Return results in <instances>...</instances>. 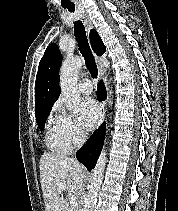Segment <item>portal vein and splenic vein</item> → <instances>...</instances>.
I'll use <instances>...</instances> for the list:
<instances>
[{"label":"portal vein and splenic vein","mask_w":178,"mask_h":211,"mask_svg":"<svg viewBox=\"0 0 178 211\" xmlns=\"http://www.w3.org/2000/svg\"><path fill=\"white\" fill-rule=\"evenodd\" d=\"M66 189V186L64 184H59L58 185V190L59 191H62V190H65ZM70 203L73 207H76L78 206V199H77V196L75 195H72L70 196Z\"/></svg>","instance_id":"obj_1"}]
</instances>
